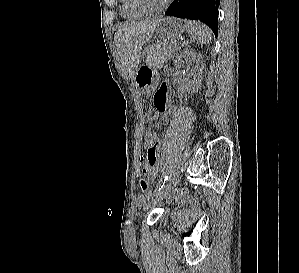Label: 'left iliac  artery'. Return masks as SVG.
<instances>
[{"label":"left iliac artery","mask_w":299,"mask_h":273,"mask_svg":"<svg viewBox=\"0 0 299 273\" xmlns=\"http://www.w3.org/2000/svg\"><path fill=\"white\" fill-rule=\"evenodd\" d=\"M168 179H169V175H165V176L159 181V183H158V185H157V187H156V189H155V192L160 191V190L163 188L165 182H166Z\"/></svg>","instance_id":"44dca946"}]
</instances>
